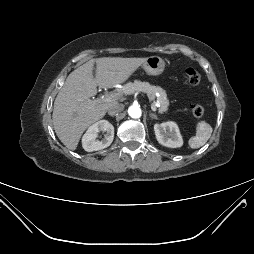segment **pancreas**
<instances>
[{
    "label": "pancreas",
    "mask_w": 254,
    "mask_h": 254,
    "mask_svg": "<svg viewBox=\"0 0 254 254\" xmlns=\"http://www.w3.org/2000/svg\"><path fill=\"white\" fill-rule=\"evenodd\" d=\"M139 90L146 93L150 99H155L156 94H158V112L161 114L168 112L169 100L167 98L166 92L161 87L151 85L148 82H141L136 80L134 82H128L125 84L121 90V93L130 95Z\"/></svg>",
    "instance_id": "pancreas-1"
}]
</instances>
